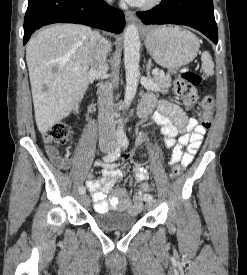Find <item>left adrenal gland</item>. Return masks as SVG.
I'll return each mask as SVG.
<instances>
[{
    "instance_id": "left-adrenal-gland-1",
    "label": "left adrenal gland",
    "mask_w": 247,
    "mask_h": 275,
    "mask_svg": "<svg viewBox=\"0 0 247 275\" xmlns=\"http://www.w3.org/2000/svg\"><path fill=\"white\" fill-rule=\"evenodd\" d=\"M151 59H149V61H148V63H147V66H146V73H147V76L149 77V78H151V76H150V69H151Z\"/></svg>"
}]
</instances>
